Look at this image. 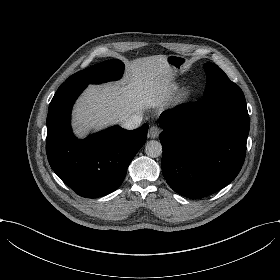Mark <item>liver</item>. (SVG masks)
Masks as SVG:
<instances>
[{
	"label": "liver",
	"mask_w": 280,
	"mask_h": 280,
	"mask_svg": "<svg viewBox=\"0 0 280 280\" xmlns=\"http://www.w3.org/2000/svg\"><path fill=\"white\" fill-rule=\"evenodd\" d=\"M174 70L166 55L137 58L125 64V75L119 82L90 85L73 111L74 133L85 137L90 130L122 124L130 116L142 115L147 99L161 94L170 86Z\"/></svg>",
	"instance_id": "1"
}]
</instances>
